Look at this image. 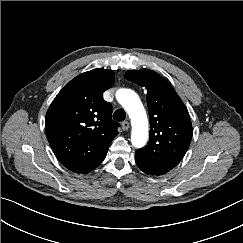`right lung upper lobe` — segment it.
I'll list each match as a JSON object with an SVG mask.
<instances>
[{"instance_id":"cb5924a9","label":"right lung upper lobe","mask_w":243,"mask_h":243,"mask_svg":"<svg viewBox=\"0 0 243 243\" xmlns=\"http://www.w3.org/2000/svg\"><path fill=\"white\" fill-rule=\"evenodd\" d=\"M114 81L112 70L82 73L57 94L47 111L48 142L60 163L73 172L88 173L100 165L118 134L112 106L102 97Z\"/></svg>"}]
</instances>
